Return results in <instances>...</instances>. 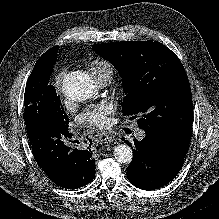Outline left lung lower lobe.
<instances>
[{"label":"left lung lower lobe","instance_id":"obj_1","mask_svg":"<svg viewBox=\"0 0 219 219\" xmlns=\"http://www.w3.org/2000/svg\"><path fill=\"white\" fill-rule=\"evenodd\" d=\"M191 135V131L172 135L146 132L144 139L134 140V156L127 168L129 181L144 190L168 184L183 166Z\"/></svg>","mask_w":219,"mask_h":219}]
</instances>
